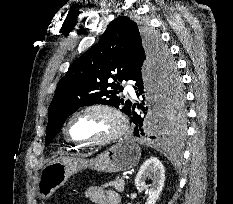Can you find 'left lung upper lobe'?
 <instances>
[{
    "label": "left lung upper lobe",
    "mask_w": 233,
    "mask_h": 204,
    "mask_svg": "<svg viewBox=\"0 0 233 204\" xmlns=\"http://www.w3.org/2000/svg\"><path fill=\"white\" fill-rule=\"evenodd\" d=\"M139 56L157 75L165 121L181 129L185 113L183 93L167 48L144 24L122 16L110 22L100 41L77 59L59 81L48 110L45 146L79 107L105 104L125 113L132 102L117 94L123 90L120 82L129 80Z\"/></svg>",
    "instance_id": "obj_1"
}]
</instances>
